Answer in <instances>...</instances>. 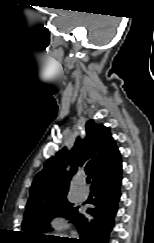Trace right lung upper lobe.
Listing matches in <instances>:
<instances>
[{"label": "right lung upper lobe", "mask_w": 154, "mask_h": 243, "mask_svg": "<svg viewBox=\"0 0 154 243\" xmlns=\"http://www.w3.org/2000/svg\"><path fill=\"white\" fill-rule=\"evenodd\" d=\"M85 127L84 140L77 138L71 151L66 148L60 150L36 175L26 209L66 197L70 179L79 169L86 170L93 184L121 165L120 153L110 130L93 120H89ZM69 163L71 170L67 171Z\"/></svg>", "instance_id": "cb5924a9"}]
</instances>
